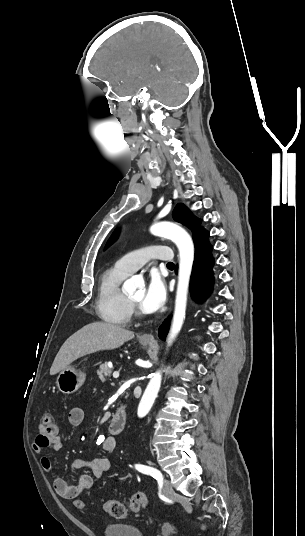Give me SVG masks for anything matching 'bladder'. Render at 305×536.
I'll list each match as a JSON object with an SVG mask.
<instances>
[{"label":"bladder","instance_id":"bladder-1","mask_svg":"<svg viewBox=\"0 0 305 536\" xmlns=\"http://www.w3.org/2000/svg\"><path fill=\"white\" fill-rule=\"evenodd\" d=\"M101 532L102 536H145L140 528L127 521L104 523Z\"/></svg>","mask_w":305,"mask_h":536}]
</instances>
